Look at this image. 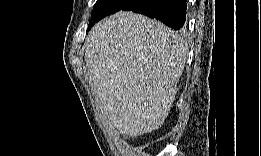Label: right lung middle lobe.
<instances>
[{"label": "right lung middle lobe", "mask_w": 261, "mask_h": 156, "mask_svg": "<svg viewBox=\"0 0 261 156\" xmlns=\"http://www.w3.org/2000/svg\"><path fill=\"white\" fill-rule=\"evenodd\" d=\"M131 0H97L94 5V10L92 13V20L89 25V30L96 22L101 20L103 17L121 10L126 6Z\"/></svg>", "instance_id": "1"}]
</instances>
